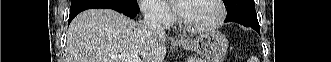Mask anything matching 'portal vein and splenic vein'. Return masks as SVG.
<instances>
[{
	"label": "portal vein and splenic vein",
	"mask_w": 331,
	"mask_h": 62,
	"mask_svg": "<svg viewBox=\"0 0 331 62\" xmlns=\"http://www.w3.org/2000/svg\"><path fill=\"white\" fill-rule=\"evenodd\" d=\"M108 59L111 62H142L137 51H132L130 54L110 55Z\"/></svg>",
	"instance_id": "1"
}]
</instances>
